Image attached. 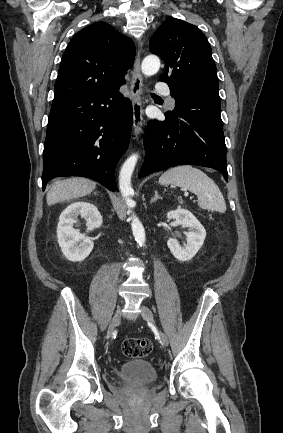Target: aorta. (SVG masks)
Masks as SVG:
<instances>
[{
    "label": "aorta",
    "instance_id": "1",
    "mask_svg": "<svg viewBox=\"0 0 283 433\" xmlns=\"http://www.w3.org/2000/svg\"><path fill=\"white\" fill-rule=\"evenodd\" d=\"M160 68V60L155 55H148L144 58L141 64L142 73L145 76H152L158 72ZM138 160L137 154H132L128 157L124 164L122 165L120 174H119V189L124 198L127 207L129 208V212H132L131 208L134 206L135 202L131 199V195L134 190L131 185V177L133 171L135 169L136 163ZM131 219V228L133 232V236L136 242L142 246L145 243V231L140 220L134 215V213L130 217Z\"/></svg>",
    "mask_w": 283,
    "mask_h": 433
}]
</instances>
